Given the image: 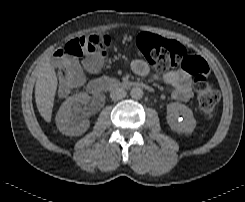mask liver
<instances>
[{"mask_svg": "<svg viewBox=\"0 0 245 202\" xmlns=\"http://www.w3.org/2000/svg\"><path fill=\"white\" fill-rule=\"evenodd\" d=\"M56 90V72L50 63L46 62L40 68L35 86L36 105L40 115L46 122L51 121Z\"/></svg>", "mask_w": 245, "mask_h": 202, "instance_id": "1", "label": "liver"}]
</instances>
